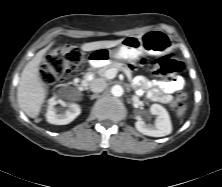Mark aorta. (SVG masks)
<instances>
[{"mask_svg":"<svg viewBox=\"0 0 222 187\" xmlns=\"http://www.w3.org/2000/svg\"><path fill=\"white\" fill-rule=\"evenodd\" d=\"M123 93H124L123 87L120 85H114L111 88V94L115 97H120L123 95Z\"/></svg>","mask_w":222,"mask_h":187,"instance_id":"aorta-1","label":"aorta"}]
</instances>
